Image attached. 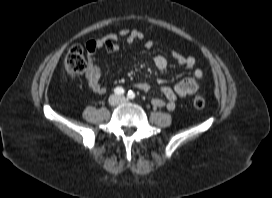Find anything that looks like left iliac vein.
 <instances>
[{
	"instance_id": "4c4485c4",
	"label": "left iliac vein",
	"mask_w": 272,
	"mask_h": 198,
	"mask_svg": "<svg viewBox=\"0 0 272 198\" xmlns=\"http://www.w3.org/2000/svg\"><path fill=\"white\" fill-rule=\"evenodd\" d=\"M120 101L123 103V102L126 101V99H125L124 97H121V98H120Z\"/></svg>"
}]
</instances>
